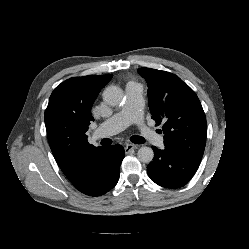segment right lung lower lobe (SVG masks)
<instances>
[{
	"instance_id": "98d812e1",
	"label": "right lung lower lobe",
	"mask_w": 249,
	"mask_h": 249,
	"mask_svg": "<svg viewBox=\"0 0 249 249\" xmlns=\"http://www.w3.org/2000/svg\"><path fill=\"white\" fill-rule=\"evenodd\" d=\"M124 156V148L119 144L105 147L101 153L81 165L77 179L71 183L89 196L105 194L117 184Z\"/></svg>"
}]
</instances>
